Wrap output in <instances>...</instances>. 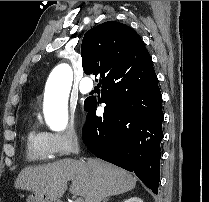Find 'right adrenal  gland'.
<instances>
[{
  "instance_id": "2a0ac1e0",
  "label": "right adrenal gland",
  "mask_w": 209,
  "mask_h": 202,
  "mask_svg": "<svg viewBox=\"0 0 209 202\" xmlns=\"http://www.w3.org/2000/svg\"><path fill=\"white\" fill-rule=\"evenodd\" d=\"M109 200V197L108 198H105L104 200H103V202H107Z\"/></svg>"
}]
</instances>
